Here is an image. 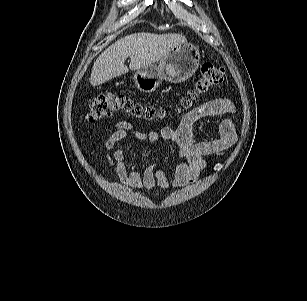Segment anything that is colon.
<instances>
[{"label": "colon", "mask_w": 307, "mask_h": 301, "mask_svg": "<svg viewBox=\"0 0 307 301\" xmlns=\"http://www.w3.org/2000/svg\"><path fill=\"white\" fill-rule=\"evenodd\" d=\"M201 78L195 87L188 91L180 102L181 109H188L196 98L222 83L225 69L212 63H204ZM127 111L134 117L152 120L162 116V111L151 105H142L121 93L107 92L93 97L88 106L87 118L90 121L105 119L115 112Z\"/></svg>", "instance_id": "5ec220e1"}]
</instances>
